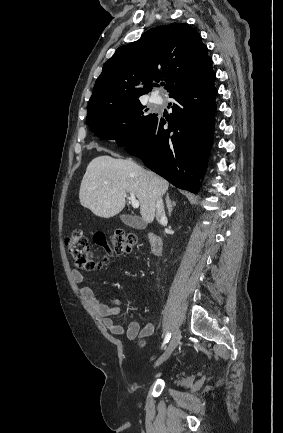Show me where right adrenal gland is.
<instances>
[{
    "instance_id": "obj_1",
    "label": "right adrenal gland",
    "mask_w": 283,
    "mask_h": 433,
    "mask_svg": "<svg viewBox=\"0 0 283 433\" xmlns=\"http://www.w3.org/2000/svg\"><path fill=\"white\" fill-rule=\"evenodd\" d=\"M177 200H171L169 196V192L166 194V206L168 208V217H171V212L173 210V206H176Z\"/></svg>"
}]
</instances>
